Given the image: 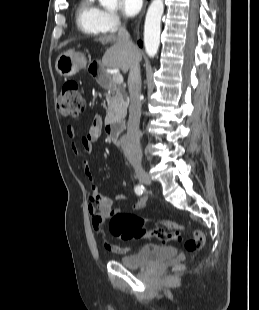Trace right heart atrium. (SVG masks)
<instances>
[{
  "instance_id": "d8ad5b80",
  "label": "right heart atrium",
  "mask_w": 259,
  "mask_h": 310,
  "mask_svg": "<svg viewBox=\"0 0 259 310\" xmlns=\"http://www.w3.org/2000/svg\"><path fill=\"white\" fill-rule=\"evenodd\" d=\"M122 24V19L116 12L106 11L103 15V26L106 31H116Z\"/></svg>"
}]
</instances>
